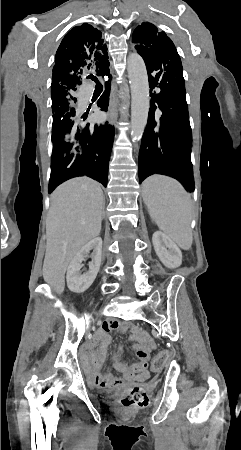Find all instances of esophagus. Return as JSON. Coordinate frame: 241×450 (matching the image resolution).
I'll use <instances>...</instances> for the list:
<instances>
[{"mask_svg": "<svg viewBox=\"0 0 241 450\" xmlns=\"http://www.w3.org/2000/svg\"><path fill=\"white\" fill-rule=\"evenodd\" d=\"M118 106L119 101L114 91L110 96V102L108 107V123H110L111 125H114V123L118 118V111H117Z\"/></svg>", "mask_w": 241, "mask_h": 450, "instance_id": "esophagus-1", "label": "esophagus"}]
</instances>
